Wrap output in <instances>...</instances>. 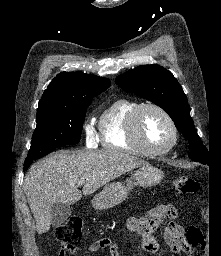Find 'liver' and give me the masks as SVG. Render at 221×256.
Instances as JSON below:
<instances>
[{"label":"liver","mask_w":221,"mask_h":256,"mask_svg":"<svg viewBox=\"0 0 221 256\" xmlns=\"http://www.w3.org/2000/svg\"><path fill=\"white\" fill-rule=\"evenodd\" d=\"M148 162L113 150L69 152L59 151L37 163L28 171L24 191L36 221L38 234L47 232L52 223L55 203L72 205L126 172ZM83 181L80 191L77 184Z\"/></svg>","instance_id":"1"}]
</instances>
